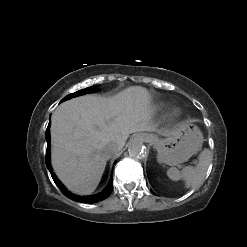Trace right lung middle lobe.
Wrapping results in <instances>:
<instances>
[{
  "label": "right lung middle lobe",
  "instance_id": "1",
  "mask_svg": "<svg viewBox=\"0 0 247 247\" xmlns=\"http://www.w3.org/2000/svg\"><path fill=\"white\" fill-rule=\"evenodd\" d=\"M96 90L97 89L95 87L91 86V87H88V88H85L83 90H79V91H77L75 93L67 95L62 101H65V100H68V99H70L72 97H76V96L83 95V94H86V93H91V92L96 91Z\"/></svg>",
  "mask_w": 247,
  "mask_h": 247
}]
</instances>
